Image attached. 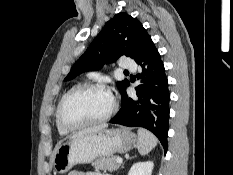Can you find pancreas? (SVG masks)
Here are the masks:
<instances>
[{"instance_id":"1","label":"pancreas","mask_w":233,"mask_h":175,"mask_svg":"<svg viewBox=\"0 0 233 175\" xmlns=\"http://www.w3.org/2000/svg\"><path fill=\"white\" fill-rule=\"evenodd\" d=\"M116 156L110 157H100L95 162L92 163V166L96 170H108L110 172L116 171L120 164L116 162Z\"/></svg>"}]
</instances>
